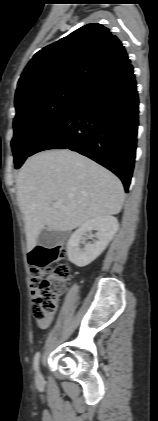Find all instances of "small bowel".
<instances>
[{"instance_id":"c3829d8e","label":"small bowel","mask_w":158,"mask_h":421,"mask_svg":"<svg viewBox=\"0 0 158 421\" xmlns=\"http://www.w3.org/2000/svg\"><path fill=\"white\" fill-rule=\"evenodd\" d=\"M52 321V317H49L45 320H37V325L41 329H46Z\"/></svg>"}]
</instances>
